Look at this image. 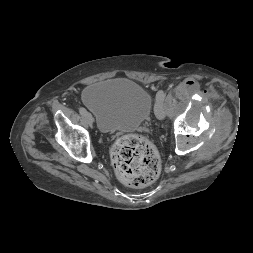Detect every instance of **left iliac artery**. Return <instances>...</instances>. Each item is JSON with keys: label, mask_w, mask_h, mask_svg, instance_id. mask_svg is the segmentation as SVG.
Returning <instances> with one entry per match:
<instances>
[{"label": "left iliac artery", "mask_w": 253, "mask_h": 253, "mask_svg": "<svg viewBox=\"0 0 253 253\" xmlns=\"http://www.w3.org/2000/svg\"><path fill=\"white\" fill-rule=\"evenodd\" d=\"M165 95H166V94L164 93L163 90L158 91L157 94H156V102H157V101L164 102V100H165Z\"/></svg>", "instance_id": "44dca946"}]
</instances>
